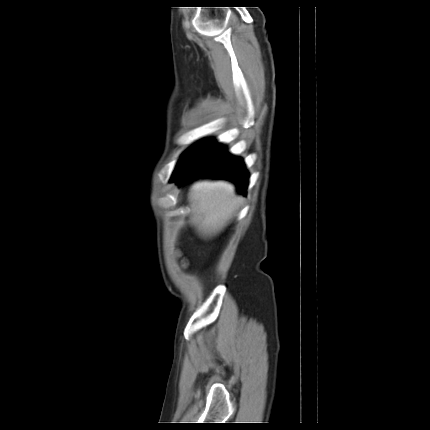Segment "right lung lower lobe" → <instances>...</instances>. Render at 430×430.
<instances>
[{
  "label": "right lung lower lobe",
  "mask_w": 430,
  "mask_h": 430,
  "mask_svg": "<svg viewBox=\"0 0 430 430\" xmlns=\"http://www.w3.org/2000/svg\"><path fill=\"white\" fill-rule=\"evenodd\" d=\"M194 177L223 178L234 182L240 193L246 194L248 173L241 159L229 155L217 144L192 164L174 173L170 182L184 183Z\"/></svg>",
  "instance_id": "right-lung-lower-lobe-1"
}]
</instances>
